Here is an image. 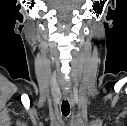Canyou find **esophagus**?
<instances>
[{
	"mask_svg": "<svg viewBox=\"0 0 127 126\" xmlns=\"http://www.w3.org/2000/svg\"><path fill=\"white\" fill-rule=\"evenodd\" d=\"M63 95H64V99H65V100H68L69 103L71 104V106H74V102H73L71 93L68 92V91H65V92L63 93Z\"/></svg>",
	"mask_w": 127,
	"mask_h": 126,
	"instance_id": "obj_1",
	"label": "esophagus"
}]
</instances>
